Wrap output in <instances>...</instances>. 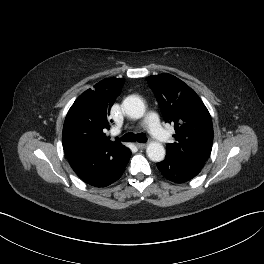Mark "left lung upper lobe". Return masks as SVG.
Returning <instances> with one entry per match:
<instances>
[{
	"label": "left lung upper lobe",
	"instance_id": "1",
	"mask_svg": "<svg viewBox=\"0 0 264 264\" xmlns=\"http://www.w3.org/2000/svg\"><path fill=\"white\" fill-rule=\"evenodd\" d=\"M165 122L174 125L175 141L167 144L166 155L184 163L203 165L213 143L211 116L199 96L170 74L147 78Z\"/></svg>",
	"mask_w": 264,
	"mask_h": 264
}]
</instances>
